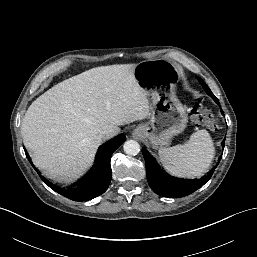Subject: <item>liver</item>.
I'll return each mask as SVG.
<instances>
[{"label": "liver", "mask_w": 257, "mask_h": 257, "mask_svg": "<svg viewBox=\"0 0 257 257\" xmlns=\"http://www.w3.org/2000/svg\"><path fill=\"white\" fill-rule=\"evenodd\" d=\"M135 64L92 68L39 96L21 124L34 165L48 178L72 181L90 166L109 129L150 114L146 91L134 77Z\"/></svg>", "instance_id": "liver-1"}]
</instances>
